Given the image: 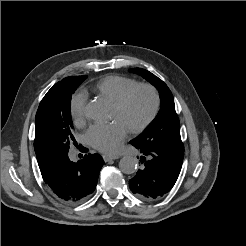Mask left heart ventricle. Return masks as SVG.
Instances as JSON below:
<instances>
[{"instance_id": "1", "label": "left heart ventricle", "mask_w": 246, "mask_h": 246, "mask_svg": "<svg viewBox=\"0 0 246 246\" xmlns=\"http://www.w3.org/2000/svg\"><path fill=\"white\" fill-rule=\"evenodd\" d=\"M152 107L153 98L150 92L139 90L123 109L113 106L112 118L120 120L130 129L145 120L150 114Z\"/></svg>"}]
</instances>
